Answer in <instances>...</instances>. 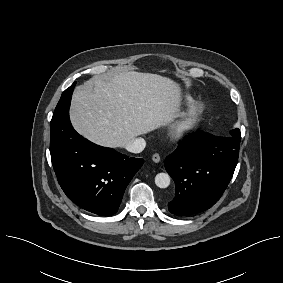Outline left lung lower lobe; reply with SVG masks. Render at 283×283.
<instances>
[{
	"label": "left lung lower lobe",
	"instance_id": "1",
	"mask_svg": "<svg viewBox=\"0 0 283 283\" xmlns=\"http://www.w3.org/2000/svg\"><path fill=\"white\" fill-rule=\"evenodd\" d=\"M240 141L199 132L180 143L165 160L175 182V197L168 203L171 213H200L220 199L236 168Z\"/></svg>",
	"mask_w": 283,
	"mask_h": 283
}]
</instances>
